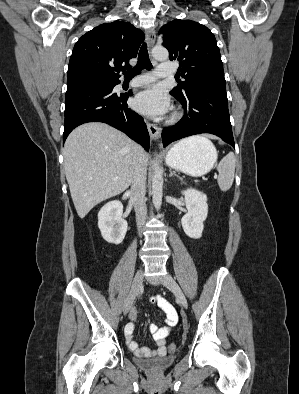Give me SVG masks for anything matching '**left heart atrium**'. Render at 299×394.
<instances>
[{
  "label": "left heart atrium",
  "instance_id": "1",
  "mask_svg": "<svg viewBox=\"0 0 299 394\" xmlns=\"http://www.w3.org/2000/svg\"><path fill=\"white\" fill-rule=\"evenodd\" d=\"M133 107L144 115L157 117L168 112L170 103L158 87H151L136 95Z\"/></svg>",
  "mask_w": 299,
  "mask_h": 394
}]
</instances>
